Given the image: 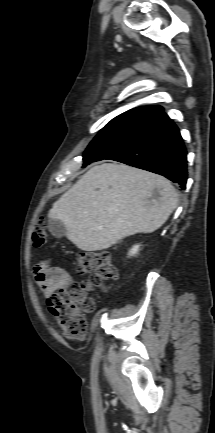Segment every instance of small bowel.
<instances>
[{"mask_svg": "<svg viewBox=\"0 0 215 433\" xmlns=\"http://www.w3.org/2000/svg\"><path fill=\"white\" fill-rule=\"evenodd\" d=\"M33 274L36 284L47 298L72 282L69 272L62 267L52 265L50 260L39 262L34 267Z\"/></svg>", "mask_w": 215, "mask_h": 433, "instance_id": "small-bowel-1", "label": "small bowel"}]
</instances>
